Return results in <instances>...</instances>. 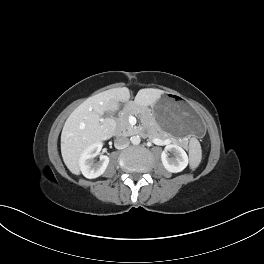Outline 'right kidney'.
Listing matches in <instances>:
<instances>
[{
    "instance_id": "right-kidney-1",
    "label": "right kidney",
    "mask_w": 264,
    "mask_h": 264,
    "mask_svg": "<svg viewBox=\"0 0 264 264\" xmlns=\"http://www.w3.org/2000/svg\"><path fill=\"white\" fill-rule=\"evenodd\" d=\"M102 148L101 143H95L83 150L80 157V170L82 174L88 179H94L101 176L108 164L109 157L101 155L98 162H94V158L99 154Z\"/></svg>"
}]
</instances>
